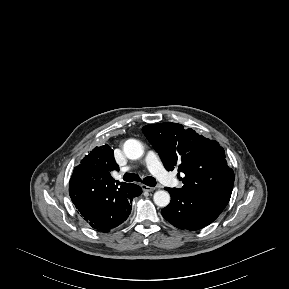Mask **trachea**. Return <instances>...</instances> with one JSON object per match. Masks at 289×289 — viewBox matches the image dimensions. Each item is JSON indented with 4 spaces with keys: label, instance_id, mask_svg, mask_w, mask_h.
<instances>
[{
    "label": "trachea",
    "instance_id": "obj_1",
    "mask_svg": "<svg viewBox=\"0 0 289 289\" xmlns=\"http://www.w3.org/2000/svg\"><path fill=\"white\" fill-rule=\"evenodd\" d=\"M123 179L127 182L142 181L139 175L134 173H125ZM142 182L150 187H154L156 185V179L150 176L145 177Z\"/></svg>",
    "mask_w": 289,
    "mask_h": 289
}]
</instances>
